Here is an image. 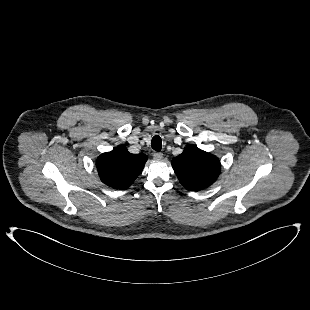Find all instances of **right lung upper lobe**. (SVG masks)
I'll return each instance as SVG.
<instances>
[{"label": "right lung upper lobe", "instance_id": "right-lung-upper-lobe-1", "mask_svg": "<svg viewBox=\"0 0 310 310\" xmlns=\"http://www.w3.org/2000/svg\"><path fill=\"white\" fill-rule=\"evenodd\" d=\"M146 161L145 154H131L125 147L118 146L101 154L96 167L103 183L114 189H125L142 172Z\"/></svg>", "mask_w": 310, "mask_h": 310}]
</instances>
